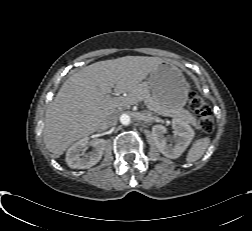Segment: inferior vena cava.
I'll use <instances>...</instances> for the list:
<instances>
[{"mask_svg": "<svg viewBox=\"0 0 252 231\" xmlns=\"http://www.w3.org/2000/svg\"><path fill=\"white\" fill-rule=\"evenodd\" d=\"M118 116L117 114L108 115L102 123V127L107 128L117 124Z\"/></svg>", "mask_w": 252, "mask_h": 231, "instance_id": "obj_1", "label": "inferior vena cava"}]
</instances>
